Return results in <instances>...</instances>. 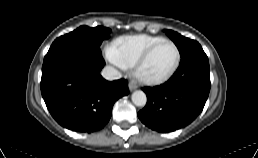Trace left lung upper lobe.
I'll return each instance as SVG.
<instances>
[{
  "label": "left lung upper lobe",
  "instance_id": "obj_1",
  "mask_svg": "<svg viewBox=\"0 0 258 158\" xmlns=\"http://www.w3.org/2000/svg\"><path fill=\"white\" fill-rule=\"evenodd\" d=\"M166 33L169 36V38L171 40H173V42L177 46L181 56L185 55L193 45L198 43L195 40H191L189 38H186V37L180 35L177 32H174L172 30H166Z\"/></svg>",
  "mask_w": 258,
  "mask_h": 158
}]
</instances>
